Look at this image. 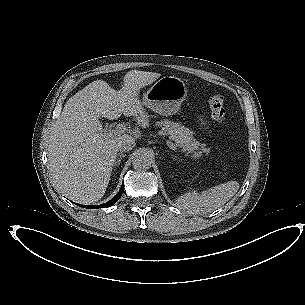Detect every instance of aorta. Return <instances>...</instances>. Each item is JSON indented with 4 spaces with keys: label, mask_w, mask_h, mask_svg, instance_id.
<instances>
[{
    "label": "aorta",
    "mask_w": 305,
    "mask_h": 305,
    "mask_svg": "<svg viewBox=\"0 0 305 305\" xmlns=\"http://www.w3.org/2000/svg\"><path fill=\"white\" fill-rule=\"evenodd\" d=\"M151 163L152 156L148 151H139L132 161L135 170H147L151 167Z\"/></svg>",
    "instance_id": "1"
}]
</instances>
